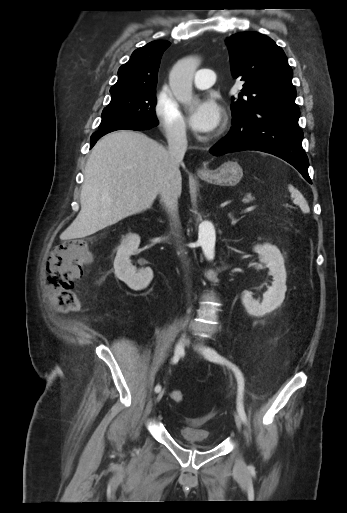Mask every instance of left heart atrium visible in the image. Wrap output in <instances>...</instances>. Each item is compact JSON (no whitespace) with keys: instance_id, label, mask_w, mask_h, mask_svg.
<instances>
[{"instance_id":"1","label":"left heart atrium","mask_w":347,"mask_h":513,"mask_svg":"<svg viewBox=\"0 0 347 513\" xmlns=\"http://www.w3.org/2000/svg\"><path fill=\"white\" fill-rule=\"evenodd\" d=\"M221 120L222 109L212 96L198 100L189 112V124L194 131L199 133H212L218 128Z\"/></svg>"}]
</instances>
